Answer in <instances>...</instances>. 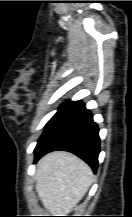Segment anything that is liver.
I'll return each mask as SVG.
<instances>
[{
    "label": "liver",
    "mask_w": 132,
    "mask_h": 217,
    "mask_svg": "<svg viewBox=\"0 0 132 217\" xmlns=\"http://www.w3.org/2000/svg\"><path fill=\"white\" fill-rule=\"evenodd\" d=\"M92 182V169L72 153L51 152L37 163L36 191L43 206L55 216L72 212Z\"/></svg>",
    "instance_id": "liver-1"
}]
</instances>
